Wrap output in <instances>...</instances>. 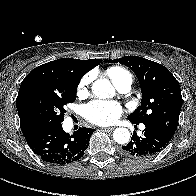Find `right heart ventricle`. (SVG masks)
Here are the masks:
<instances>
[{
    "label": "right heart ventricle",
    "mask_w": 196,
    "mask_h": 196,
    "mask_svg": "<svg viewBox=\"0 0 196 196\" xmlns=\"http://www.w3.org/2000/svg\"><path fill=\"white\" fill-rule=\"evenodd\" d=\"M107 75L116 86L121 82L131 78V75L127 70L118 66L108 68Z\"/></svg>",
    "instance_id": "1"
}]
</instances>
